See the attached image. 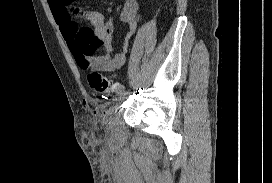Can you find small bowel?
Returning a JSON list of instances; mask_svg holds the SVG:
<instances>
[{
  "label": "small bowel",
  "instance_id": "obj_1",
  "mask_svg": "<svg viewBox=\"0 0 272 183\" xmlns=\"http://www.w3.org/2000/svg\"><path fill=\"white\" fill-rule=\"evenodd\" d=\"M48 3L70 52L81 68L94 66L104 71L115 72L124 66L129 39L140 24L137 0H125L121 7L120 19L128 25L129 32L119 53L113 50L112 36L102 13L83 10L76 5L75 0H48ZM81 19L87 21L89 26L81 25ZM98 48H103L104 52L94 55Z\"/></svg>",
  "mask_w": 272,
  "mask_h": 183
}]
</instances>
